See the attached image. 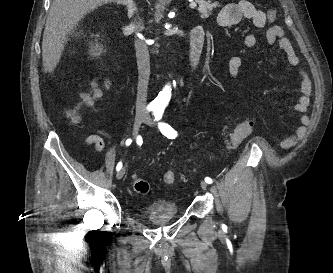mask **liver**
<instances>
[{"label":"liver","mask_w":333,"mask_h":273,"mask_svg":"<svg viewBox=\"0 0 333 273\" xmlns=\"http://www.w3.org/2000/svg\"><path fill=\"white\" fill-rule=\"evenodd\" d=\"M118 0H53L46 21L43 41V68L47 73L53 72L57 66L68 35L73 33L84 16L103 4Z\"/></svg>","instance_id":"obj_1"}]
</instances>
